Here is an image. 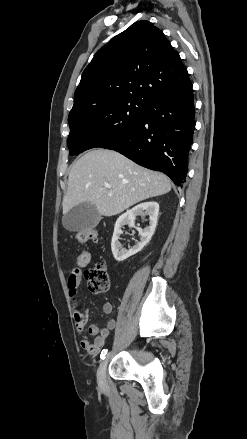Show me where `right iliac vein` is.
Segmentation results:
<instances>
[{"label":"right iliac vein","mask_w":247,"mask_h":439,"mask_svg":"<svg viewBox=\"0 0 247 439\" xmlns=\"http://www.w3.org/2000/svg\"><path fill=\"white\" fill-rule=\"evenodd\" d=\"M110 354H108L104 360L100 363V366L97 371V382L99 386L103 387L106 385V370L109 362Z\"/></svg>","instance_id":"right-iliac-vein-1"}]
</instances>
